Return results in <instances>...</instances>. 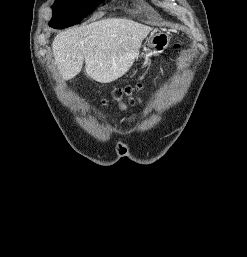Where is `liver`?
<instances>
[{
    "label": "liver",
    "mask_w": 247,
    "mask_h": 257,
    "mask_svg": "<svg viewBox=\"0 0 247 257\" xmlns=\"http://www.w3.org/2000/svg\"><path fill=\"white\" fill-rule=\"evenodd\" d=\"M151 27L125 18H108L59 33L53 40L55 63L63 80L79 74L110 83L125 75Z\"/></svg>",
    "instance_id": "obj_1"
}]
</instances>
